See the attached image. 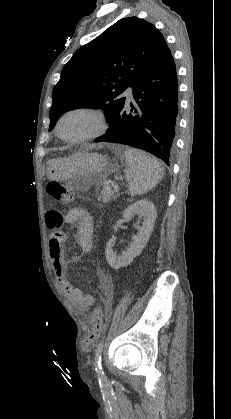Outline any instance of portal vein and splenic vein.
I'll list each match as a JSON object with an SVG mask.
<instances>
[{"instance_id": "18ae733b", "label": "portal vein and splenic vein", "mask_w": 231, "mask_h": 419, "mask_svg": "<svg viewBox=\"0 0 231 419\" xmlns=\"http://www.w3.org/2000/svg\"><path fill=\"white\" fill-rule=\"evenodd\" d=\"M107 188L109 189V188H110V186H108V185H107Z\"/></svg>"}]
</instances>
